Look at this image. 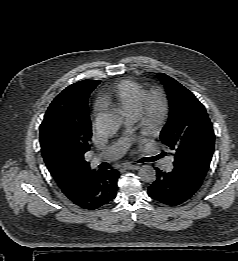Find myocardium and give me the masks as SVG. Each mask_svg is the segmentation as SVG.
I'll return each instance as SVG.
<instances>
[{
	"label": "myocardium",
	"mask_w": 238,
	"mask_h": 261,
	"mask_svg": "<svg viewBox=\"0 0 238 261\" xmlns=\"http://www.w3.org/2000/svg\"><path fill=\"white\" fill-rule=\"evenodd\" d=\"M170 110L169 98L160 86L144 91L137 118L142 130L148 133L158 131L165 124Z\"/></svg>",
	"instance_id": "1"
}]
</instances>
